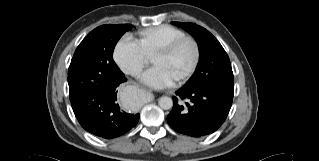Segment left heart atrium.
Masks as SVG:
<instances>
[{
  "label": "left heart atrium",
  "mask_w": 319,
  "mask_h": 161,
  "mask_svg": "<svg viewBox=\"0 0 319 161\" xmlns=\"http://www.w3.org/2000/svg\"><path fill=\"white\" fill-rule=\"evenodd\" d=\"M141 80L153 88L162 89L173 85L172 77L160 66H153L141 75Z\"/></svg>",
  "instance_id": "obj_1"
}]
</instances>
